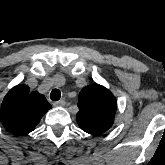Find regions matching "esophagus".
Instances as JSON below:
<instances>
[{
	"label": "esophagus",
	"instance_id": "esophagus-1",
	"mask_svg": "<svg viewBox=\"0 0 165 165\" xmlns=\"http://www.w3.org/2000/svg\"><path fill=\"white\" fill-rule=\"evenodd\" d=\"M53 105L56 107H61L65 105V101L64 100L56 101L53 103Z\"/></svg>",
	"mask_w": 165,
	"mask_h": 165
}]
</instances>
